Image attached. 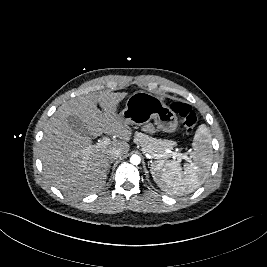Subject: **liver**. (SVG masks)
Segmentation results:
<instances>
[{
	"label": "liver",
	"mask_w": 267,
	"mask_h": 267,
	"mask_svg": "<svg viewBox=\"0 0 267 267\" xmlns=\"http://www.w3.org/2000/svg\"><path fill=\"white\" fill-rule=\"evenodd\" d=\"M127 95L101 92L78 96L62 104L47 122L40 159L46 178L63 193L77 196L98 191L107 179L109 151L118 148L122 154L128 153L132 130L116 113ZM98 103L103 112L97 108ZM68 117L80 121L87 135L74 130ZM103 133L119 140L93 147L92 139Z\"/></svg>",
	"instance_id": "1"
}]
</instances>
